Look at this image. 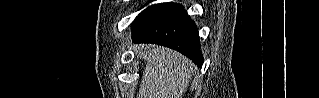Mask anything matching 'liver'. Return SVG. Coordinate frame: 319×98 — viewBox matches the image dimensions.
I'll return each instance as SVG.
<instances>
[{"label":"liver","mask_w":319,"mask_h":98,"mask_svg":"<svg viewBox=\"0 0 319 98\" xmlns=\"http://www.w3.org/2000/svg\"><path fill=\"white\" fill-rule=\"evenodd\" d=\"M147 62L137 98H182L191 81L192 62L164 46L139 45Z\"/></svg>","instance_id":"6515ba94"}]
</instances>
